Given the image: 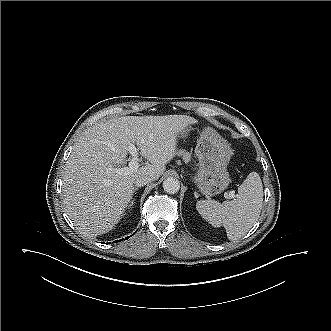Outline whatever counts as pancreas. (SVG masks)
I'll return each mask as SVG.
<instances>
[{
    "label": "pancreas",
    "mask_w": 331,
    "mask_h": 331,
    "mask_svg": "<svg viewBox=\"0 0 331 331\" xmlns=\"http://www.w3.org/2000/svg\"><path fill=\"white\" fill-rule=\"evenodd\" d=\"M183 159H184V161L187 163V162L190 161V159H191V155H190L189 153H184V154H183Z\"/></svg>",
    "instance_id": "cf45deb5"
}]
</instances>
